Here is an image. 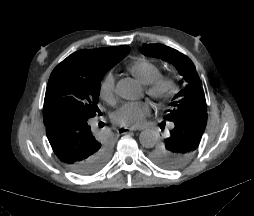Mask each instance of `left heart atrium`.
Wrapping results in <instances>:
<instances>
[{
  "label": "left heart atrium",
  "mask_w": 254,
  "mask_h": 216,
  "mask_svg": "<svg viewBox=\"0 0 254 216\" xmlns=\"http://www.w3.org/2000/svg\"><path fill=\"white\" fill-rule=\"evenodd\" d=\"M148 106L145 104H138L127 107V109L121 114L120 121L122 123H127L137 118H141L144 112L147 110Z\"/></svg>",
  "instance_id": "39dd6f15"
}]
</instances>
